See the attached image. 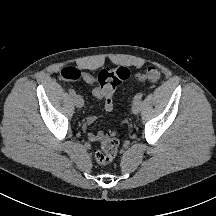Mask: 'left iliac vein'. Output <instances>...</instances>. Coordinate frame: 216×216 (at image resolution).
I'll use <instances>...</instances> for the list:
<instances>
[{
    "label": "left iliac vein",
    "mask_w": 216,
    "mask_h": 216,
    "mask_svg": "<svg viewBox=\"0 0 216 216\" xmlns=\"http://www.w3.org/2000/svg\"><path fill=\"white\" fill-rule=\"evenodd\" d=\"M141 110V103L140 102H134L132 105V112L134 114H138Z\"/></svg>",
    "instance_id": "obj_1"
}]
</instances>
